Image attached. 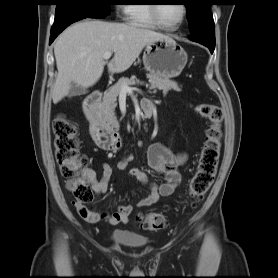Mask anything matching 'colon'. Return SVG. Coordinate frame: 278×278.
I'll list each match as a JSON object with an SVG mask.
<instances>
[{
	"label": "colon",
	"mask_w": 278,
	"mask_h": 278,
	"mask_svg": "<svg viewBox=\"0 0 278 278\" xmlns=\"http://www.w3.org/2000/svg\"><path fill=\"white\" fill-rule=\"evenodd\" d=\"M198 115L205 118L209 125L205 132V140L198 161V166L189 185L191 205L199 202L216 175L220 155L223 113L214 104H198L195 106ZM54 133L55 158L62 176L67 181V188L73 194L75 202L85 205L92 201L93 193L86 169V158L80 153V141L77 127L64 115H58L52 123ZM140 226L147 230H160L168 226V222L158 213L139 214Z\"/></svg>",
	"instance_id": "colon-1"
}]
</instances>
